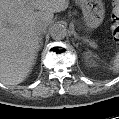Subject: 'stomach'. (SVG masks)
I'll use <instances>...</instances> for the list:
<instances>
[{"label": "stomach", "mask_w": 119, "mask_h": 119, "mask_svg": "<svg viewBox=\"0 0 119 119\" xmlns=\"http://www.w3.org/2000/svg\"><path fill=\"white\" fill-rule=\"evenodd\" d=\"M82 8L83 19L86 26L85 31L98 27L105 15L102 0H76Z\"/></svg>", "instance_id": "1"}]
</instances>
